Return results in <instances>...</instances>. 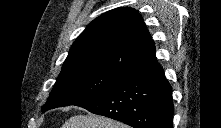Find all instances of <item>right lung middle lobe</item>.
Returning <instances> with one entry per match:
<instances>
[{
    "mask_svg": "<svg viewBox=\"0 0 221 128\" xmlns=\"http://www.w3.org/2000/svg\"><path fill=\"white\" fill-rule=\"evenodd\" d=\"M124 75L99 68L85 67L61 71L52 92L42 106V112L49 109L76 105L93 98L121 80Z\"/></svg>",
    "mask_w": 221,
    "mask_h": 128,
    "instance_id": "1",
    "label": "right lung middle lobe"
}]
</instances>
